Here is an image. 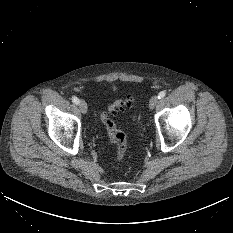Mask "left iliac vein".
<instances>
[{
  "instance_id": "1",
  "label": "left iliac vein",
  "mask_w": 233,
  "mask_h": 233,
  "mask_svg": "<svg viewBox=\"0 0 233 233\" xmlns=\"http://www.w3.org/2000/svg\"><path fill=\"white\" fill-rule=\"evenodd\" d=\"M158 103V96H152L150 101H149V108L150 109H154V107L157 105Z\"/></svg>"
}]
</instances>
